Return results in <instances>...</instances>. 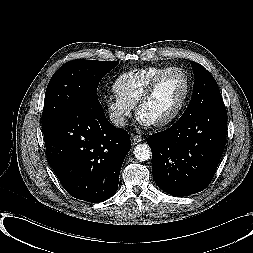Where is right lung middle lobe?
<instances>
[{
    "label": "right lung middle lobe",
    "mask_w": 253,
    "mask_h": 253,
    "mask_svg": "<svg viewBox=\"0 0 253 253\" xmlns=\"http://www.w3.org/2000/svg\"><path fill=\"white\" fill-rule=\"evenodd\" d=\"M119 62L73 60L62 65L52 76L45 94L43 131L55 124L75 106L98 102L97 87L102 77Z\"/></svg>",
    "instance_id": "obj_1"
}]
</instances>
